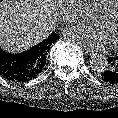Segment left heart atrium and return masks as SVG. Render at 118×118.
I'll return each instance as SVG.
<instances>
[{"mask_svg":"<svg viewBox=\"0 0 118 118\" xmlns=\"http://www.w3.org/2000/svg\"><path fill=\"white\" fill-rule=\"evenodd\" d=\"M66 36L87 49L104 50L112 44L107 32L98 25L77 24L67 29Z\"/></svg>","mask_w":118,"mask_h":118,"instance_id":"obj_1","label":"left heart atrium"}]
</instances>
